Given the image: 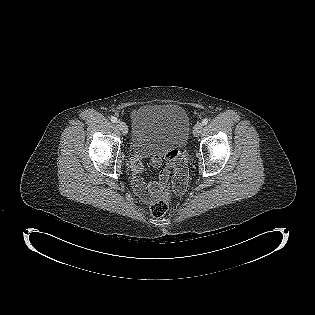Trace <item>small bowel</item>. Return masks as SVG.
Wrapping results in <instances>:
<instances>
[{
	"mask_svg": "<svg viewBox=\"0 0 315 315\" xmlns=\"http://www.w3.org/2000/svg\"><path fill=\"white\" fill-rule=\"evenodd\" d=\"M167 156L169 162L174 165L177 174H184L185 161L182 159L180 153L174 149H171L168 151ZM151 164L154 167L159 168L161 165V157L159 155L152 156ZM131 168L133 172L132 184L135 192L145 201H148L152 197L160 194L168 182L169 171L167 168H164L160 171L158 179H155L146 184L140 176L144 170V167L138 156L132 159Z\"/></svg>",
	"mask_w": 315,
	"mask_h": 315,
	"instance_id": "obj_1",
	"label": "small bowel"
}]
</instances>
